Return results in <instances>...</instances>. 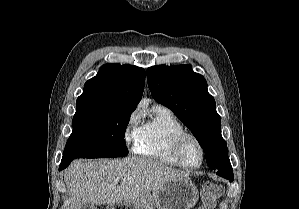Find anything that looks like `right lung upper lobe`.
Segmentation results:
<instances>
[{"instance_id":"1","label":"right lung upper lobe","mask_w":299,"mask_h":209,"mask_svg":"<svg viewBox=\"0 0 299 209\" xmlns=\"http://www.w3.org/2000/svg\"><path fill=\"white\" fill-rule=\"evenodd\" d=\"M145 70L132 65L106 64L84 85L76 108L134 111L140 102Z\"/></svg>"}]
</instances>
